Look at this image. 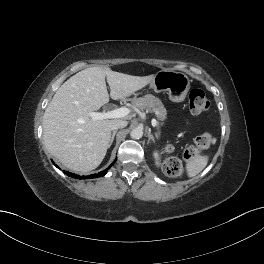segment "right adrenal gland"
Masks as SVG:
<instances>
[{"label":"right adrenal gland","instance_id":"1","mask_svg":"<svg viewBox=\"0 0 264 264\" xmlns=\"http://www.w3.org/2000/svg\"><path fill=\"white\" fill-rule=\"evenodd\" d=\"M116 133H117V130H114L113 133H112L111 140H110V143H109V148H110V146L112 145V143L114 141V137H115Z\"/></svg>","mask_w":264,"mask_h":264}]
</instances>
